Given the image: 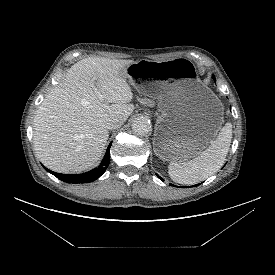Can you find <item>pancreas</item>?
Here are the masks:
<instances>
[{"label": "pancreas", "mask_w": 275, "mask_h": 275, "mask_svg": "<svg viewBox=\"0 0 275 275\" xmlns=\"http://www.w3.org/2000/svg\"><path fill=\"white\" fill-rule=\"evenodd\" d=\"M140 102L143 103V104H147L149 106L153 105V102L151 100H149V99H146V98L140 99Z\"/></svg>", "instance_id": "obj_1"}]
</instances>
